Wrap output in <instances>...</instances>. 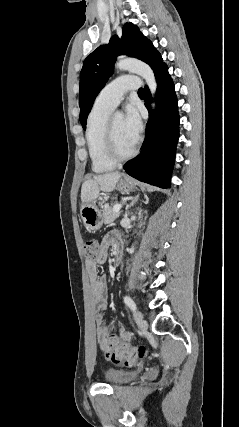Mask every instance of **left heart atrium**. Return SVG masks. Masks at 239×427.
<instances>
[{
  "label": "left heart atrium",
  "mask_w": 239,
  "mask_h": 427,
  "mask_svg": "<svg viewBox=\"0 0 239 427\" xmlns=\"http://www.w3.org/2000/svg\"><path fill=\"white\" fill-rule=\"evenodd\" d=\"M123 126L129 138L136 143L138 141L142 124L136 108L129 106L123 117Z\"/></svg>",
  "instance_id": "obj_1"
}]
</instances>
